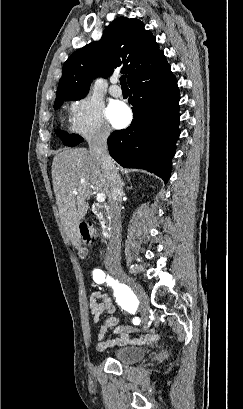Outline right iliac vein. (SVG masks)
<instances>
[{
    "label": "right iliac vein",
    "mask_w": 243,
    "mask_h": 409,
    "mask_svg": "<svg viewBox=\"0 0 243 409\" xmlns=\"http://www.w3.org/2000/svg\"><path fill=\"white\" fill-rule=\"evenodd\" d=\"M115 276L120 281L128 285L132 289V291L135 293V295L140 301L142 320L143 322H146L148 319V310L146 306L147 297L144 291L142 290V288L140 287V285L132 277L128 276L123 271H117L115 273Z\"/></svg>",
    "instance_id": "obj_1"
}]
</instances>
